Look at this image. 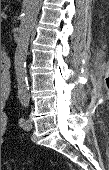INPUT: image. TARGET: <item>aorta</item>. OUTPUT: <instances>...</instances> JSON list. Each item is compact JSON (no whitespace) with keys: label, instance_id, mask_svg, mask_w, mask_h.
I'll return each mask as SVG.
<instances>
[{"label":"aorta","instance_id":"aorta-1","mask_svg":"<svg viewBox=\"0 0 109 170\" xmlns=\"http://www.w3.org/2000/svg\"><path fill=\"white\" fill-rule=\"evenodd\" d=\"M25 7L19 27V38L14 57V69L18 86V98L20 103L27 104L30 100L26 59L31 32L40 11L42 0H24Z\"/></svg>","mask_w":109,"mask_h":170}]
</instances>
